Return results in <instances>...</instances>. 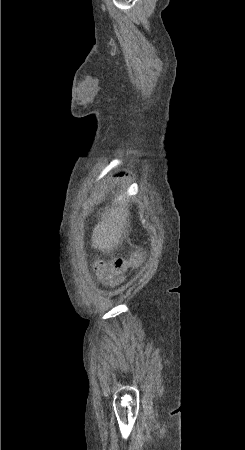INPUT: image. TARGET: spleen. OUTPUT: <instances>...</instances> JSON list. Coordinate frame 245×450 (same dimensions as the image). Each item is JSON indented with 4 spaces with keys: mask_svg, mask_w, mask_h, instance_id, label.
Wrapping results in <instances>:
<instances>
[{
    "mask_svg": "<svg viewBox=\"0 0 245 450\" xmlns=\"http://www.w3.org/2000/svg\"><path fill=\"white\" fill-rule=\"evenodd\" d=\"M129 210L124 207L105 208L100 222L92 233V246L102 252H111L120 243L123 235L128 233Z\"/></svg>",
    "mask_w": 245,
    "mask_h": 450,
    "instance_id": "obj_1",
    "label": "spleen"
}]
</instances>
